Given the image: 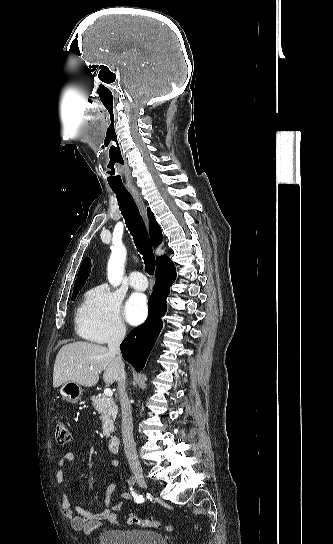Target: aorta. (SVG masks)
Masks as SVG:
<instances>
[{
  "mask_svg": "<svg viewBox=\"0 0 333 544\" xmlns=\"http://www.w3.org/2000/svg\"><path fill=\"white\" fill-rule=\"evenodd\" d=\"M126 260V249L119 246L112 249V254L108 263L107 277L112 285H117L122 274L124 262Z\"/></svg>",
  "mask_w": 333,
  "mask_h": 544,
  "instance_id": "762f6f07",
  "label": "aorta"
}]
</instances>
